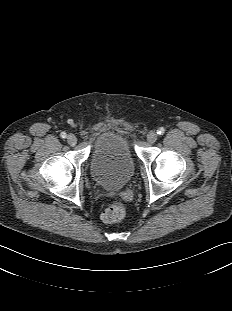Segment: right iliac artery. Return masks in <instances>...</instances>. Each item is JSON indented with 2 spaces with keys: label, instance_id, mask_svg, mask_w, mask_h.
Masks as SVG:
<instances>
[{
  "label": "right iliac artery",
  "instance_id": "1",
  "mask_svg": "<svg viewBox=\"0 0 232 311\" xmlns=\"http://www.w3.org/2000/svg\"><path fill=\"white\" fill-rule=\"evenodd\" d=\"M60 136H61L62 138H66V137H67V135H66L65 132H62Z\"/></svg>",
  "mask_w": 232,
  "mask_h": 311
}]
</instances>
